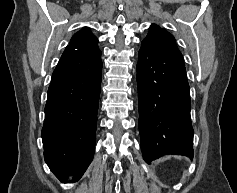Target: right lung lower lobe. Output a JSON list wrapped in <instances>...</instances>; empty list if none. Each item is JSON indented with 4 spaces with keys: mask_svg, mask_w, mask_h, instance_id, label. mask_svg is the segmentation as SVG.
I'll return each instance as SVG.
<instances>
[{
    "mask_svg": "<svg viewBox=\"0 0 237 193\" xmlns=\"http://www.w3.org/2000/svg\"><path fill=\"white\" fill-rule=\"evenodd\" d=\"M101 52L64 51L48 89L42 140L45 162L65 181L82 177L94 155Z\"/></svg>",
    "mask_w": 237,
    "mask_h": 193,
    "instance_id": "1",
    "label": "right lung lower lobe"
}]
</instances>
